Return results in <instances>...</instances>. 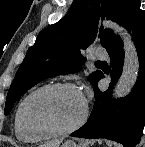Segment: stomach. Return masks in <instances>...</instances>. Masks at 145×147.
I'll list each match as a JSON object with an SVG mask.
<instances>
[{
  "label": "stomach",
  "mask_w": 145,
  "mask_h": 147,
  "mask_svg": "<svg viewBox=\"0 0 145 147\" xmlns=\"http://www.w3.org/2000/svg\"><path fill=\"white\" fill-rule=\"evenodd\" d=\"M61 147H85V145L83 142H81L80 144H76L73 141H67L63 143Z\"/></svg>",
  "instance_id": "1"
}]
</instances>
